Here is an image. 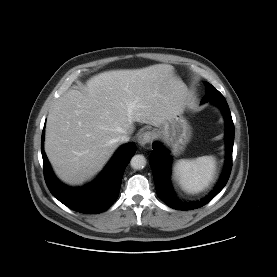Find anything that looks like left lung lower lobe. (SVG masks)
<instances>
[{"label": "left lung lower lobe", "mask_w": 277, "mask_h": 277, "mask_svg": "<svg viewBox=\"0 0 277 277\" xmlns=\"http://www.w3.org/2000/svg\"><path fill=\"white\" fill-rule=\"evenodd\" d=\"M222 111L226 122V161L223 174L209 196L199 202L183 203L176 197L170 183V167L171 161L169 151L161 144L154 143L153 151L150 154L149 162L153 171L156 192L159 198L164 201L169 207L178 210H192L210 202L226 185L232 168V151L234 143V124L231 117V112L226 100L213 102Z\"/></svg>", "instance_id": "left-lung-lower-lobe-1"}]
</instances>
